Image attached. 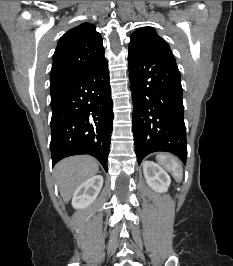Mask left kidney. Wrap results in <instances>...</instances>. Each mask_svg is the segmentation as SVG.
<instances>
[{"instance_id": "5707ae66", "label": "left kidney", "mask_w": 233, "mask_h": 266, "mask_svg": "<svg viewBox=\"0 0 233 266\" xmlns=\"http://www.w3.org/2000/svg\"><path fill=\"white\" fill-rule=\"evenodd\" d=\"M143 173L147 184L154 191L163 193L168 190L171 183L170 177L159 165L152 161H145Z\"/></svg>"}]
</instances>
